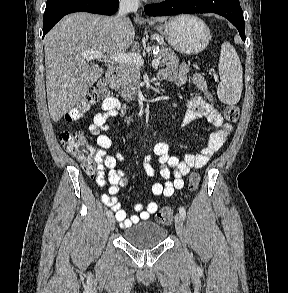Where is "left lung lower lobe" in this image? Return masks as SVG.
<instances>
[{
	"label": "left lung lower lobe",
	"mask_w": 288,
	"mask_h": 293,
	"mask_svg": "<svg viewBox=\"0 0 288 293\" xmlns=\"http://www.w3.org/2000/svg\"><path fill=\"white\" fill-rule=\"evenodd\" d=\"M144 11L150 16H167L181 13H216L227 18L245 41L243 12L239 0H166L147 5Z\"/></svg>",
	"instance_id": "0a47b994"
}]
</instances>
